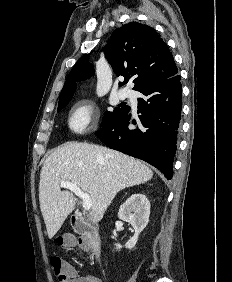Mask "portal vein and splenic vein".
Here are the masks:
<instances>
[{
    "mask_svg": "<svg viewBox=\"0 0 232 282\" xmlns=\"http://www.w3.org/2000/svg\"><path fill=\"white\" fill-rule=\"evenodd\" d=\"M60 188H66L72 191L76 196L82 199L83 208L85 210L91 209L92 201L90 195L88 193H84L76 184L69 181H63L60 183Z\"/></svg>",
    "mask_w": 232,
    "mask_h": 282,
    "instance_id": "18ae733b",
    "label": "portal vein and splenic vein"
}]
</instances>
